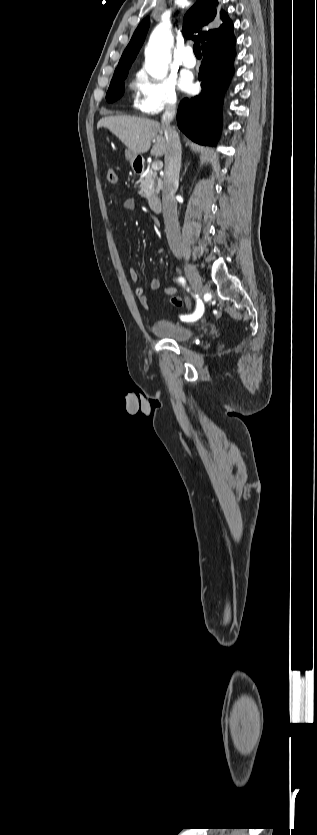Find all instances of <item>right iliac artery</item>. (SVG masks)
<instances>
[{
    "mask_svg": "<svg viewBox=\"0 0 317 835\" xmlns=\"http://www.w3.org/2000/svg\"><path fill=\"white\" fill-rule=\"evenodd\" d=\"M178 280H179V282H180V283H182V284L184 285V283H185L184 278L180 277ZM188 290H189V289H188ZM195 298H196V301H197V308H196V311L193 313V315H190V316H188V317H185V319H187V320H189V321H194V320L199 319V318L202 316L203 312H204V305H203V302L199 299V296H198V295H195Z\"/></svg>",
    "mask_w": 317,
    "mask_h": 835,
    "instance_id": "82829eb1",
    "label": "right iliac artery"
}]
</instances>
